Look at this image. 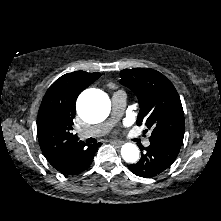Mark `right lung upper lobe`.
Here are the masks:
<instances>
[{
  "label": "right lung upper lobe",
  "instance_id": "1",
  "mask_svg": "<svg viewBox=\"0 0 221 221\" xmlns=\"http://www.w3.org/2000/svg\"><path fill=\"white\" fill-rule=\"evenodd\" d=\"M100 73L75 71L58 78L45 93L37 117L40 148L57 170L72 162L86 144L71 133L78 95L97 80Z\"/></svg>",
  "mask_w": 221,
  "mask_h": 221
}]
</instances>
